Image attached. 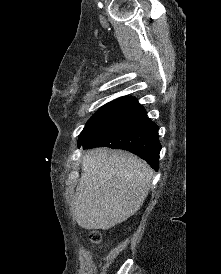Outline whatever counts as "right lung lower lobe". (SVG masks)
I'll list each match as a JSON object with an SVG mask.
<instances>
[{
    "instance_id": "1",
    "label": "right lung lower lobe",
    "mask_w": 221,
    "mask_h": 274,
    "mask_svg": "<svg viewBox=\"0 0 221 274\" xmlns=\"http://www.w3.org/2000/svg\"><path fill=\"white\" fill-rule=\"evenodd\" d=\"M158 139V126L147 117L144 107L134 101L104 130L81 145L86 149L106 146L127 150L157 171L161 150Z\"/></svg>"
}]
</instances>
